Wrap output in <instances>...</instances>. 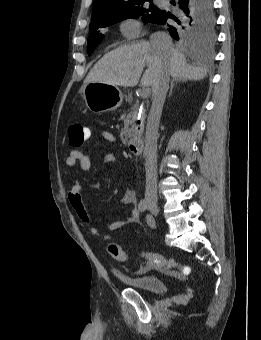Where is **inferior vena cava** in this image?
<instances>
[{
    "label": "inferior vena cava",
    "mask_w": 261,
    "mask_h": 340,
    "mask_svg": "<svg viewBox=\"0 0 261 340\" xmlns=\"http://www.w3.org/2000/svg\"><path fill=\"white\" fill-rule=\"evenodd\" d=\"M150 43L160 56H166L173 49L170 36L164 32L153 33L150 36ZM168 87L169 75L165 73L153 88L152 106L147 120L144 156L146 169L145 197L148 199H157L158 125Z\"/></svg>",
    "instance_id": "obj_1"
}]
</instances>
